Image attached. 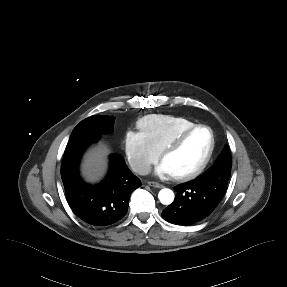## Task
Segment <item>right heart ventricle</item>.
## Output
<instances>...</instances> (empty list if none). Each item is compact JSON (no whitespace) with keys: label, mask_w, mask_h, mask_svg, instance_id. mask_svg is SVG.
Listing matches in <instances>:
<instances>
[{"label":"right heart ventricle","mask_w":287,"mask_h":287,"mask_svg":"<svg viewBox=\"0 0 287 287\" xmlns=\"http://www.w3.org/2000/svg\"><path fill=\"white\" fill-rule=\"evenodd\" d=\"M187 117L168 114H150L141 118L138 127L150 143L161 152L180 132L194 126Z\"/></svg>","instance_id":"obj_1"}]
</instances>
